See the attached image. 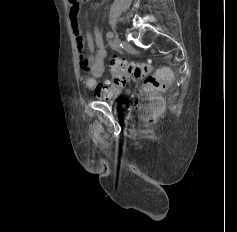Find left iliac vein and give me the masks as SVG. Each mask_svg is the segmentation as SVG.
I'll use <instances>...</instances> for the list:
<instances>
[{"mask_svg": "<svg viewBox=\"0 0 237 232\" xmlns=\"http://www.w3.org/2000/svg\"><path fill=\"white\" fill-rule=\"evenodd\" d=\"M122 47H123L126 51H129V50L132 49L131 44H130L129 42H127V41H123V42H122Z\"/></svg>", "mask_w": 237, "mask_h": 232, "instance_id": "left-iliac-vein-1", "label": "left iliac vein"}]
</instances>
